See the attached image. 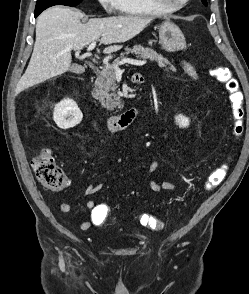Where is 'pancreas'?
Listing matches in <instances>:
<instances>
[{
    "label": "pancreas",
    "mask_w": 249,
    "mask_h": 294,
    "mask_svg": "<svg viewBox=\"0 0 249 294\" xmlns=\"http://www.w3.org/2000/svg\"><path fill=\"white\" fill-rule=\"evenodd\" d=\"M129 53L135 54L137 57H140L144 60L148 59L150 61H156L162 68L170 65L169 69L176 71L175 67L171 65L166 58L152 49L144 48L141 45H135L132 49H126V52L121 54V56L113 62V65L106 66L102 69L100 75L95 81L97 96L100 99L102 105L108 110L123 108V103L120 101V96L116 93L114 66L119 64L120 61L124 60L126 58L125 55H128Z\"/></svg>",
    "instance_id": "obj_1"
}]
</instances>
